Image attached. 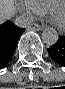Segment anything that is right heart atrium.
I'll list each match as a JSON object with an SVG mask.
<instances>
[{
    "label": "right heart atrium",
    "instance_id": "1",
    "mask_svg": "<svg viewBox=\"0 0 65 89\" xmlns=\"http://www.w3.org/2000/svg\"><path fill=\"white\" fill-rule=\"evenodd\" d=\"M20 9L26 15H29V16L37 15V13L29 6L28 3L21 4Z\"/></svg>",
    "mask_w": 65,
    "mask_h": 89
}]
</instances>
